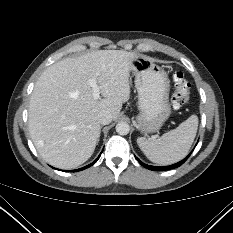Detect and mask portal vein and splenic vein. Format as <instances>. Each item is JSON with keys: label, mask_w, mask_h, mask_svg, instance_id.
Listing matches in <instances>:
<instances>
[{"label": "portal vein and splenic vein", "mask_w": 233, "mask_h": 233, "mask_svg": "<svg viewBox=\"0 0 233 233\" xmlns=\"http://www.w3.org/2000/svg\"><path fill=\"white\" fill-rule=\"evenodd\" d=\"M88 84L92 88V91H93L92 95H93L94 99H99V97H100V86L97 84L96 79L95 78L89 79Z\"/></svg>", "instance_id": "1"}]
</instances>
